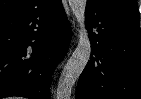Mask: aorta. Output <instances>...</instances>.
<instances>
[{"label":"aorta","instance_id":"1","mask_svg":"<svg viewBox=\"0 0 141 99\" xmlns=\"http://www.w3.org/2000/svg\"><path fill=\"white\" fill-rule=\"evenodd\" d=\"M69 6L78 23L79 41L59 78L56 99H70L72 88L87 65L91 54V43L85 27L86 0H69Z\"/></svg>","mask_w":141,"mask_h":99}]
</instances>
